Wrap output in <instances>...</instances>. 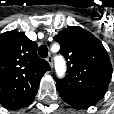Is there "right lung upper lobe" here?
<instances>
[{
    "instance_id": "obj_1",
    "label": "right lung upper lobe",
    "mask_w": 114,
    "mask_h": 114,
    "mask_svg": "<svg viewBox=\"0 0 114 114\" xmlns=\"http://www.w3.org/2000/svg\"><path fill=\"white\" fill-rule=\"evenodd\" d=\"M50 70L37 56V44L16 29L0 34V104L13 108L37 94L41 78Z\"/></svg>"
}]
</instances>
